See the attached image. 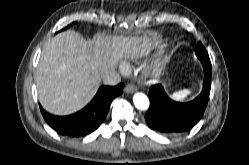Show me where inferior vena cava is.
Here are the masks:
<instances>
[{"label": "inferior vena cava", "mask_w": 249, "mask_h": 165, "mask_svg": "<svg viewBox=\"0 0 249 165\" xmlns=\"http://www.w3.org/2000/svg\"><path fill=\"white\" fill-rule=\"evenodd\" d=\"M102 81L106 85H117L121 81V77L118 73L114 71H108L102 74Z\"/></svg>", "instance_id": "602c4592"}]
</instances>
